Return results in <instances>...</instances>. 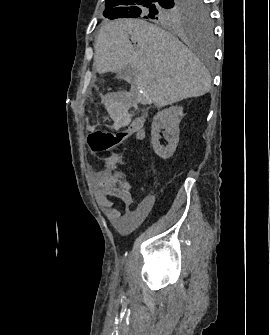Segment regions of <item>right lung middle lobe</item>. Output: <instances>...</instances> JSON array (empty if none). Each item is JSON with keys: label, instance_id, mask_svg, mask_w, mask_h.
I'll return each mask as SVG.
<instances>
[{"label": "right lung middle lobe", "instance_id": "right-lung-middle-lobe-1", "mask_svg": "<svg viewBox=\"0 0 270 335\" xmlns=\"http://www.w3.org/2000/svg\"><path fill=\"white\" fill-rule=\"evenodd\" d=\"M103 16L140 18L189 34L203 43L212 38L210 10L204 0H106Z\"/></svg>", "mask_w": 270, "mask_h": 335}]
</instances>
